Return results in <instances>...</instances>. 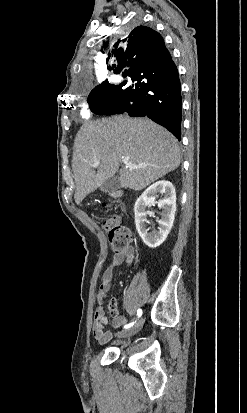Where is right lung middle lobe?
I'll list each match as a JSON object with an SVG mask.
<instances>
[{"label": "right lung middle lobe", "mask_w": 247, "mask_h": 413, "mask_svg": "<svg viewBox=\"0 0 247 413\" xmlns=\"http://www.w3.org/2000/svg\"><path fill=\"white\" fill-rule=\"evenodd\" d=\"M121 88L122 84L115 86L111 85L108 81H105L101 85L95 87L88 97V103L91 111L95 114L103 115L107 105L121 91Z\"/></svg>", "instance_id": "obj_1"}]
</instances>
